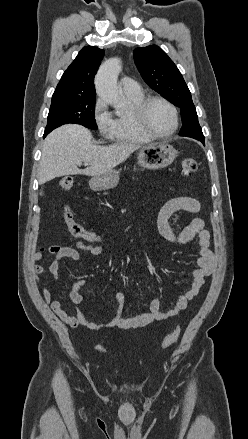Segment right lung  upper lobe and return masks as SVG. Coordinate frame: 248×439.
Here are the masks:
<instances>
[{
  "instance_id": "cb5924a9",
  "label": "right lung upper lobe",
  "mask_w": 248,
  "mask_h": 439,
  "mask_svg": "<svg viewBox=\"0 0 248 439\" xmlns=\"http://www.w3.org/2000/svg\"><path fill=\"white\" fill-rule=\"evenodd\" d=\"M104 56V50L84 47L62 75L52 97H95L94 77Z\"/></svg>"
}]
</instances>
